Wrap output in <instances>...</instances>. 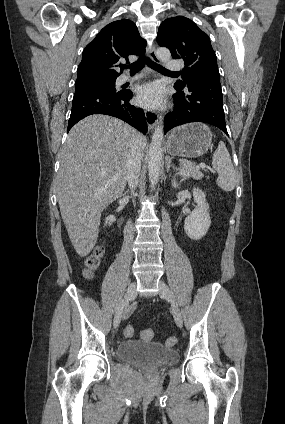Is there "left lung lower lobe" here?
<instances>
[{"mask_svg":"<svg viewBox=\"0 0 285 424\" xmlns=\"http://www.w3.org/2000/svg\"><path fill=\"white\" fill-rule=\"evenodd\" d=\"M174 109L165 116L164 132L190 122H204L221 129H227L223 110L220 79L200 77L186 84L184 88L174 86Z\"/></svg>","mask_w":285,"mask_h":424,"instance_id":"0a47b994","label":"left lung lower lobe"}]
</instances>
